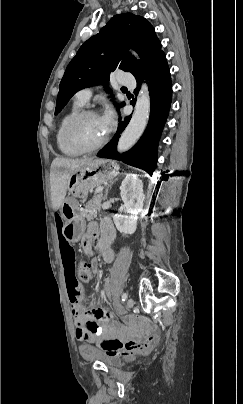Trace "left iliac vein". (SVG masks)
Wrapping results in <instances>:
<instances>
[{"mask_svg": "<svg viewBox=\"0 0 243 404\" xmlns=\"http://www.w3.org/2000/svg\"><path fill=\"white\" fill-rule=\"evenodd\" d=\"M134 306V300L132 298H129L126 302V308L127 310H130Z\"/></svg>", "mask_w": 243, "mask_h": 404, "instance_id": "obj_1", "label": "left iliac vein"}]
</instances>
